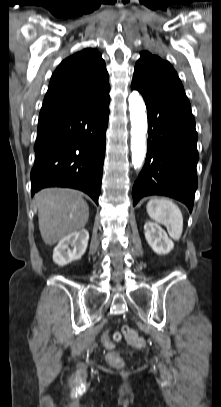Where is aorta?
Segmentation results:
<instances>
[{"instance_id": "obj_1", "label": "aorta", "mask_w": 221, "mask_h": 407, "mask_svg": "<svg viewBox=\"0 0 221 407\" xmlns=\"http://www.w3.org/2000/svg\"><path fill=\"white\" fill-rule=\"evenodd\" d=\"M128 100L131 121L132 164L135 169H140L146 156V106L143 98L136 91L129 95Z\"/></svg>"}]
</instances>
